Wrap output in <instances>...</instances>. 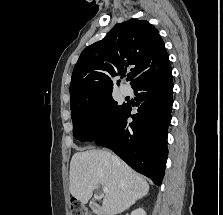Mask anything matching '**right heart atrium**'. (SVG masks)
Listing matches in <instances>:
<instances>
[{"mask_svg": "<svg viewBox=\"0 0 223 215\" xmlns=\"http://www.w3.org/2000/svg\"><path fill=\"white\" fill-rule=\"evenodd\" d=\"M98 126V120H96L93 124V127L96 128Z\"/></svg>", "mask_w": 223, "mask_h": 215, "instance_id": "obj_1", "label": "right heart atrium"}]
</instances>
